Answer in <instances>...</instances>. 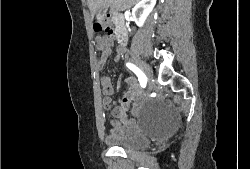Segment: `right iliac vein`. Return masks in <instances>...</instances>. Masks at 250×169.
<instances>
[{
	"instance_id": "right-iliac-vein-1",
	"label": "right iliac vein",
	"mask_w": 250,
	"mask_h": 169,
	"mask_svg": "<svg viewBox=\"0 0 250 169\" xmlns=\"http://www.w3.org/2000/svg\"><path fill=\"white\" fill-rule=\"evenodd\" d=\"M139 67L142 69V71L144 72L145 76L150 81L152 79V77H153V74L150 71L149 66L146 63H144V62H140L139 63ZM150 86H151V82H150Z\"/></svg>"
}]
</instances>
